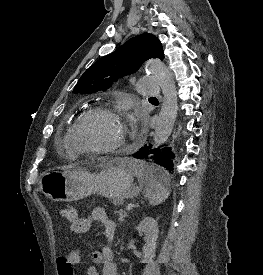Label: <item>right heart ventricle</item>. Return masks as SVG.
Wrapping results in <instances>:
<instances>
[{"label":"right heart ventricle","instance_id":"1","mask_svg":"<svg viewBox=\"0 0 263 275\" xmlns=\"http://www.w3.org/2000/svg\"><path fill=\"white\" fill-rule=\"evenodd\" d=\"M70 129H71V127H70ZM70 129H69V131H68V133H67V136H66V148H67L68 152H69L71 155H74V151L72 150V148H71V146H70V144H69V141H68V136H69Z\"/></svg>","mask_w":263,"mask_h":275}]
</instances>
